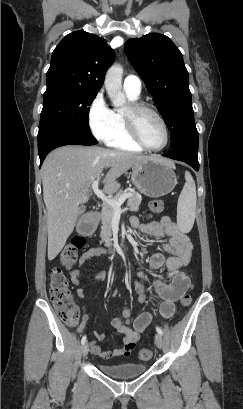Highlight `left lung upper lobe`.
<instances>
[{"mask_svg":"<svg viewBox=\"0 0 243 409\" xmlns=\"http://www.w3.org/2000/svg\"><path fill=\"white\" fill-rule=\"evenodd\" d=\"M124 50L154 98L174 146L184 126L194 120L188 71L181 52L167 36L158 33L129 39Z\"/></svg>","mask_w":243,"mask_h":409,"instance_id":"obj_1","label":"left lung upper lobe"}]
</instances>
